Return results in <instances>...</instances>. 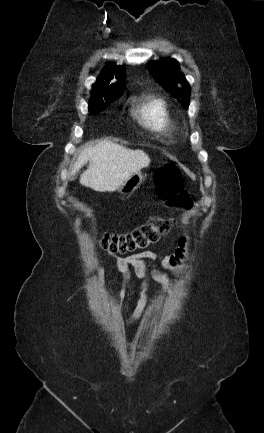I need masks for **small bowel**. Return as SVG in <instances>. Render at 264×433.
<instances>
[{
	"instance_id": "c3829d8e",
	"label": "small bowel",
	"mask_w": 264,
	"mask_h": 433,
	"mask_svg": "<svg viewBox=\"0 0 264 433\" xmlns=\"http://www.w3.org/2000/svg\"><path fill=\"white\" fill-rule=\"evenodd\" d=\"M189 246V241L186 238H181L179 241V247L174 252V254L169 256H162L157 252L154 251H144L142 253L133 254L126 257H115L116 265L118 266L119 270L122 272L124 276V282L123 287L121 291L119 292V300L115 308V312H119L121 310L123 301L127 295V286H128V278H129V268L132 267L134 269V272L136 276L143 280L144 284L142 287L140 299L138 301V305L136 307V310L130 320H128V324L133 323L136 321L145 306L147 296H146V290H147V283L149 279H154L158 283H160L163 288L168 292L170 288V282L168 278L161 274L154 269H151L147 265V260H156L159 259L162 266L171 269V270H177L186 260L187 255V249ZM104 276V270L101 267L98 271V278L102 279Z\"/></svg>"
}]
</instances>
